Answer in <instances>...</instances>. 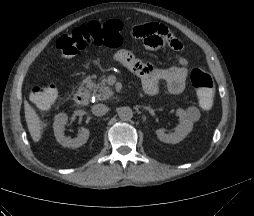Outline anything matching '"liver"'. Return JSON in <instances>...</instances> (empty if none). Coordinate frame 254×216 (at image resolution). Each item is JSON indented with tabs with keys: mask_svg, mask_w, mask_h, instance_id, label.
Listing matches in <instances>:
<instances>
[{
	"mask_svg": "<svg viewBox=\"0 0 254 216\" xmlns=\"http://www.w3.org/2000/svg\"><path fill=\"white\" fill-rule=\"evenodd\" d=\"M24 109H25V119H26L29 133H30L34 142H39V140L41 139V135H42L41 120H40L38 114L29 105L28 102L24 103Z\"/></svg>",
	"mask_w": 254,
	"mask_h": 216,
	"instance_id": "6515ba94",
	"label": "liver"
}]
</instances>
